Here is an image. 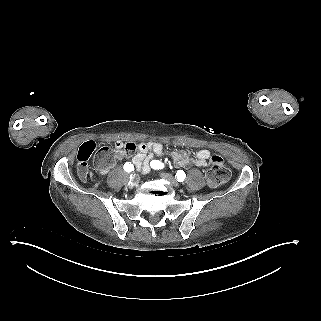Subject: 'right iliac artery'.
I'll list each match as a JSON object with an SVG mask.
<instances>
[{
    "label": "right iliac artery",
    "mask_w": 321,
    "mask_h": 321,
    "mask_svg": "<svg viewBox=\"0 0 321 321\" xmlns=\"http://www.w3.org/2000/svg\"><path fill=\"white\" fill-rule=\"evenodd\" d=\"M124 170L126 172H132L134 170V166L131 162H127L124 164Z\"/></svg>",
    "instance_id": "right-iliac-artery-1"
}]
</instances>
